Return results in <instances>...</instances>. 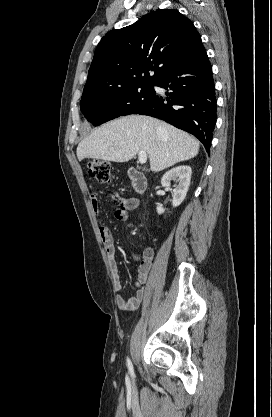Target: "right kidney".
I'll return each instance as SVG.
<instances>
[{
  "mask_svg": "<svg viewBox=\"0 0 272 417\" xmlns=\"http://www.w3.org/2000/svg\"><path fill=\"white\" fill-rule=\"evenodd\" d=\"M192 170L191 167L187 165H181L175 168H172L166 172L162 179L161 184L163 187L170 188L171 181L178 182L177 186L173 189V207L179 206L185 199L188 187L190 185ZM165 209L162 205L157 206V213H164Z\"/></svg>",
  "mask_w": 272,
  "mask_h": 417,
  "instance_id": "ca27d5eb",
  "label": "right kidney"
}]
</instances>
